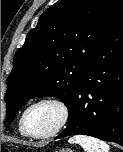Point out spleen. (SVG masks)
I'll return each instance as SVG.
<instances>
[{
    "mask_svg": "<svg viewBox=\"0 0 123 152\" xmlns=\"http://www.w3.org/2000/svg\"><path fill=\"white\" fill-rule=\"evenodd\" d=\"M70 142L81 145L85 152H109V145L94 137L75 135Z\"/></svg>",
    "mask_w": 123,
    "mask_h": 152,
    "instance_id": "spleen-1",
    "label": "spleen"
}]
</instances>
